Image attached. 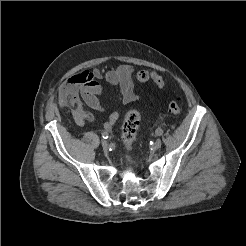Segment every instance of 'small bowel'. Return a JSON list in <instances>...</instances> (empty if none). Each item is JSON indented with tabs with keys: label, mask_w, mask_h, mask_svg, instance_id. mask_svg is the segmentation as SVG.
I'll return each instance as SVG.
<instances>
[{
	"label": "small bowel",
	"mask_w": 246,
	"mask_h": 246,
	"mask_svg": "<svg viewBox=\"0 0 246 246\" xmlns=\"http://www.w3.org/2000/svg\"><path fill=\"white\" fill-rule=\"evenodd\" d=\"M134 69L123 64L110 70H84L69 78L59 91V104L62 107H70L75 121L83 125L88 121H94L93 115L85 109V106L97 111H105L99 97L102 95V86L99 79L106 80L117 89V100L123 105L138 101L139 97L134 92L132 81ZM119 118L118 111L110 113L103 128L110 131Z\"/></svg>",
	"instance_id": "1"
}]
</instances>
